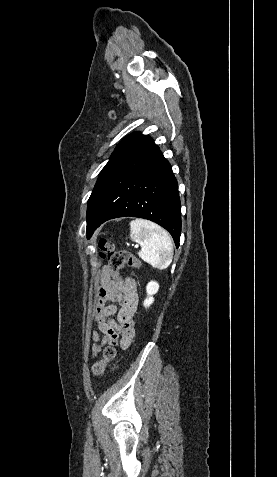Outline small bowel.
I'll list each match as a JSON object with an SVG mask.
<instances>
[{
	"instance_id": "obj_1",
	"label": "small bowel",
	"mask_w": 277,
	"mask_h": 477,
	"mask_svg": "<svg viewBox=\"0 0 277 477\" xmlns=\"http://www.w3.org/2000/svg\"><path fill=\"white\" fill-rule=\"evenodd\" d=\"M138 305L135 280L111 278L104 267L100 273V288L95 300V318L98 331L91 332L94 343L91 355L97 357L108 344H115L121 336V345L128 346L135 335L134 315ZM117 316L114 319V316Z\"/></svg>"
}]
</instances>
